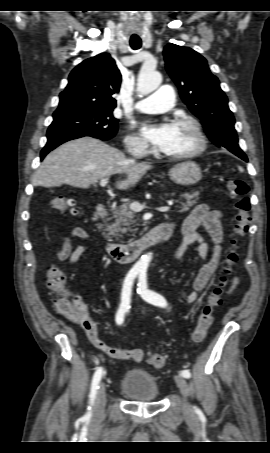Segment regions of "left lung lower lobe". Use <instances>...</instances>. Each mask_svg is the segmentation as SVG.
<instances>
[{"label": "left lung lower lobe", "instance_id": "left-lung-lower-lobe-1", "mask_svg": "<svg viewBox=\"0 0 270 453\" xmlns=\"http://www.w3.org/2000/svg\"><path fill=\"white\" fill-rule=\"evenodd\" d=\"M234 154L243 159L244 161H248L246 155L243 152H235Z\"/></svg>", "mask_w": 270, "mask_h": 453}]
</instances>
